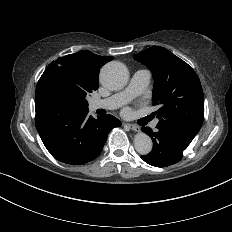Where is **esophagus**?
Listing matches in <instances>:
<instances>
[{
    "mask_svg": "<svg viewBox=\"0 0 232 232\" xmlns=\"http://www.w3.org/2000/svg\"><path fill=\"white\" fill-rule=\"evenodd\" d=\"M125 126H127L130 130L132 131H140V127L133 125V124H125Z\"/></svg>",
    "mask_w": 232,
    "mask_h": 232,
    "instance_id": "34e87169",
    "label": "esophagus"
}]
</instances>
